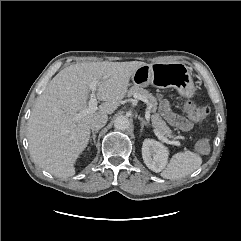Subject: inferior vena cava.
Returning a JSON list of instances; mask_svg holds the SVG:
<instances>
[{
  "instance_id": "inferior-vena-cava-1",
  "label": "inferior vena cava",
  "mask_w": 241,
  "mask_h": 241,
  "mask_svg": "<svg viewBox=\"0 0 241 241\" xmlns=\"http://www.w3.org/2000/svg\"><path fill=\"white\" fill-rule=\"evenodd\" d=\"M107 121H108L107 115H105V114L98 115L91 120L90 128L92 131H97V130L101 129L103 126H105Z\"/></svg>"
}]
</instances>
